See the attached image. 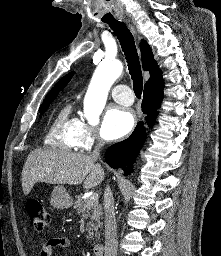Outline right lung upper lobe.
I'll use <instances>...</instances> for the list:
<instances>
[{
    "mask_svg": "<svg viewBox=\"0 0 221 256\" xmlns=\"http://www.w3.org/2000/svg\"><path fill=\"white\" fill-rule=\"evenodd\" d=\"M141 59L143 70L149 71L150 73V78L146 82L144 89L162 88L164 84L162 79V72L160 71L159 67L156 64V61L154 60L150 46L144 40L141 41ZM73 74L74 72H70L63 78H61L57 85H55L50 91L46 99L53 95L57 96L58 92L61 91L70 81Z\"/></svg>",
    "mask_w": 221,
    "mask_h": 256,
    "instance_id": "obj_1",
    "label": "right lung upper lobe"
}]
</instances>
